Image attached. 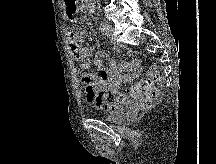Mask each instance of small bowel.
Returning a JSON list of instances; mask_svg holds the SVG:
<instances>
[{
    "label": "small bowel",
    "mask_w": 216,
    "mask_h": 164,
    "mask_svg": "<svg viewBox=\"0 0 216 164\" xmlns=\"http://www.w3.org/2000/svg\"><path fill=\"white\" fill-rule=\"evenodd\" d=\"M76 24H83L82 20H75ZM69 41L71 52L81 69L91 68L93 49L84 44V37L77 29L72 28L69 31ZM107 57L105 51L97 44L95 62L98 66L96 71H89L82 77V83L85 86V95L87 102L98 108L112 112L118 107V104L107 100V96L115 94L118 88L133 80L139 75V63L136 60L123 62L109 61V66L102 65V58ZM126 72V74H123Z\"/></svg>",
    "instance_id": "small-bowel-1"
}]
</instances>
